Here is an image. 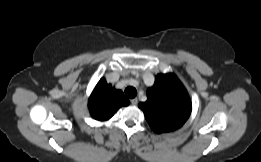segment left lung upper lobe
Wrapping results in <instances>:
<instances>
[{"label": "left lung upper lobe", "instance_id": "obj_1", "mask_svg": "<svg viewBox=\"0 0 261 162\" xmlns=\"http://www.w3.org/2000/svg\"><path fill=\"white\" fill-rule=\"evenodd\" d=\"M156 133L179 129L189 118L192 104L186 89L174 74H159L147 90V101L139 103Z\"/></svg>", "mask_w": 261, "mask_h": 162}]
</instances>
